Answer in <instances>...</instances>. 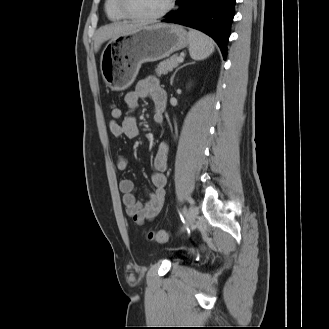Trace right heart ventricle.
Returning a JSON list of instances; mask_svg holds the SVG:
<instances>
[{
    "instance_id": "e07e8e85",
    "label": "right heart ventricle",
    "mask_w": 329,
    "mask_h": 329,
    "mask_svg": "<svg viewBox=\"0 0 329 329\" xmlns=\"http://www.w3.org/2000/svg\"><path fill=\"white\" fill-rule=\"evenodd\" d=\"M105 12L111 21H122L126 19V17L119 10L117 0H106Z\"/></svg>"
}]
</instances>
